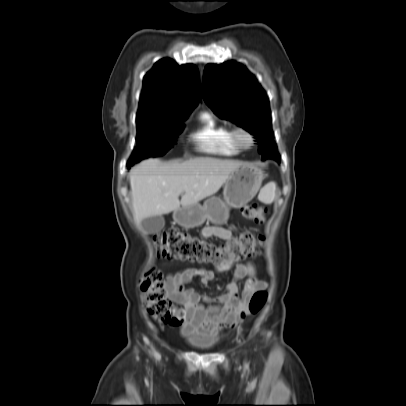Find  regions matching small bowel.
<instances>
[{
  "instance_id": "obj_1",
  "label": "small bowel",
  "mask_w": 406,
  "mask_h": 406,
  "mask_svg": "<svg viewBox=\"0 0 406 406\" xmlns=\"http://www.w3.org/2000/svg\"><path fill=\"white\" fill-rule=\"evenodd\" d=\"M202 235L229 240L233 237V228L206 227ZM232 268L233 273L227 279L226 293L216 296L200 294L188 286L195 277H199L201 285H207L216 278L213 270L187 268L167 275L164 282L166 295L175 305L171 324L180 327L184 335L204 338H211L222 329L238 326L241 313L247 309L251 295L266 289L268 284L256 276L252 262H236L216 270L226 272ZM243 278L247 280L240 294L237 282Z\"/></svg>"
}]
</instances>
